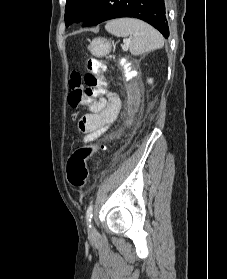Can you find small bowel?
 I'll list each match as a JSON object with an SVG mask.
<instances>
[{
  "instance_id": "c3829d8e",
  "label": "small bowel",
  "mask_w": 227,
  "mask_h": 279,
  "mask_svg": "<svg viewBox=\"0 0 227 279\" xmlns=\"http://www.w3.org/2000/svg\"><path fill=\"white\" fill-rule=\"evenodd\" d=\"M122 107L118 94L107 92L104 97L90 103L91 113L79 121V130L87 142L98 140L116 121Z\"/></svg>"
}]
</instances>
